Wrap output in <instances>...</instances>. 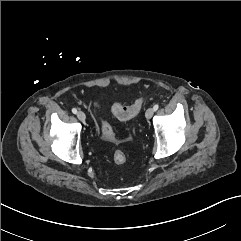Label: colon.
Wrapping results in <instances>:
<instances>
[{"instance_id": "1", "label": "colon", "mask_w": 241, "mask_h": 241, "mask_svg": "<svg viewBox=\"0 0 241 241\" xmlns=\"http://www.w3.org/2000/svg\"><path fill=\"white\" fill-rule=\"evenodd\" d=\"M143 103V99H138L131 105H122L117 103L113 106V112L120 120H128L134 117L141 110ZM102 133L107 140H115V134L109 123L104 122L102 124ZM113 160L115 164L123 165L126 162V155L124 152L117 150L114 153Z\"/></svg>"}]
</instances>
